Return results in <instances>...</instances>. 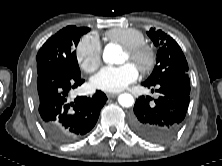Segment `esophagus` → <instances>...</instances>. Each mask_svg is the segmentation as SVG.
I'll return each instance as SVG.
<instances>
[{"label": "esophagus", "instance_id": "esophagus-1", "mask_svg": "<svg viewBox=\"0 0 222 166\" xmlns=\"http://www.w3.org/2000/svg\"><path fill=\"white\" fill-rule=\"evenodd\" d=\"M118 95V93H107L108 98H114Z\"/></svg>", "mask_w": 222, "mask_h": 166}]
</instances>
